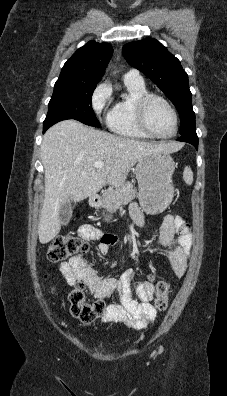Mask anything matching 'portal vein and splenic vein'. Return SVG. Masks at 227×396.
<instances>
[{
	"label": "portal vein and splenic vein",
	"instance_id": "portal-vein-and-splenic-vein-1",
	"mask_svg": "<svg viewBox=\"0 0 227 396\" xmlns=\"http://www.w3.org/2000/svg\"><path fill=\"white\" fill-rule=\"evenodd\" d=\"M104 166V162L103 161H96L94 163V167L95 168H102Z\"/></svg>",
	"mask_w": 227,
	"mask_h": 396
}]
</instances>
